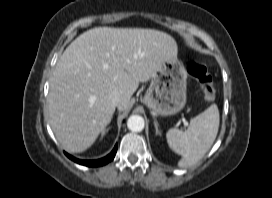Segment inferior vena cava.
<instances>
[{"instance_id": "1", "label": "inferior vena cava", "mask_w": 272, "mask_h": 198, "mask_svg": "<svg viewBox=\"0 0 272 198\" xmlns=\"http://www.w3.org/2000/svg\"><path fill=\"white\" fill-rule=\"evenodd\" d=\"M109 100L113 106H118L121 101V96L119 92L114 91L109 95Z\"/></svg>"}]
</instances>
